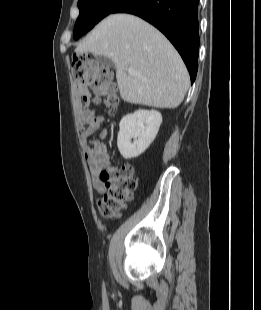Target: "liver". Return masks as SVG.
Instances as JSON below:
<instances>
[{
	"instance_id": "obj_1",
	"label": "liver",
	"mask_w": 261,
	"mask_h": 310,
	"mask_svg": "<svg viewBox=\"0 0 261 310\" xmlns=\"http://www.w3.org/2000/svg\"><path fill=\"white\" fill-rule=\"evenodd\" d=\"M110 58L122 99L157 108L178 107L189 87L180 55L155 27L130 14L101 21L75 49ZM132 67L135 73H128Z\"/></svg>"
}]
</instances>
